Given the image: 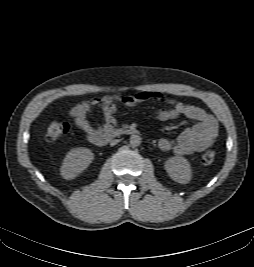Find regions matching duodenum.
<instances>
[{"label":"duodenum","mask_w":254,"mask_h":267,"mask_svg":"<svg viewBox=\"0 0 254 267\" xmlns=\"http://www.w3.org/2000/svg\"><path fill=\"white\" fill-rule=\"evenodd\" d=\"M136 132L137 131L133 128L108 130V131L99 132V133L89 136V140L92 144L101 147V146L106 145L107 142L112 138H115L121 135H133V134H136Z\"/></svg>","instance_id":"duodenum-1"}]
</instances>
